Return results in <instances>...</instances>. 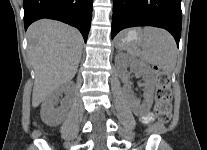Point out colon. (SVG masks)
Masks as SVG:
<instances>
[{"label":"colon","mask_w":207,"mask_h":150,"mask_svg":"<svg viewBox=\"0 0 207 150\" xmlns=\"http://www.w3.org/2000/svg\"><path fill=\"white\" fill-rule=\"evenodd\" d=\"M157 73L155 112L160 122L168 123L171 119L172 91L170 76L167 72L155 67Z\"/></svg>","instance_id":"1"}]
</instances>
